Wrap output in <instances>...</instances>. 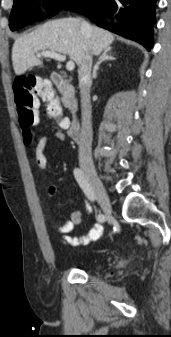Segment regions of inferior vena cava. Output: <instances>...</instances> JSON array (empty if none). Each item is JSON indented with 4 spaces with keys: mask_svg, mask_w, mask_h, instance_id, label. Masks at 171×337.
Returning a JSON list of instances; mask_svg holds the SVG:
<instances>
[{
    "mask_svg": "<svg viewBox=\"0 0 171 337\" xmlns=\"http://www.w3.org/2000/svg\"><path fill=\"white\" fill-rule=\"evenodd\" d=\"M82 31H89L91 26L83 21ZM92 56L87 53L78 70L79 86L81 94L82 127L79 142V161L92 164L91 144H92V110L90 101Z\"/></svg>",
    "mask_w": 171,
    "mask_h": 337,
    "instance_id": "inferior-vena-cava-1",
    "label": "inferior vena cava"
}]
</instances>
